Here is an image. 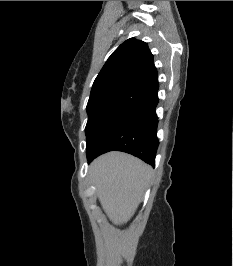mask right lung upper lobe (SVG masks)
<instances>
[{
    "mask_svg": "<svg viewBox=\"0 0 233 266\" xmlns=\"http://www.w3.org/2000/svg\"><path fill=\"white\" fill-rule=\"evenodd\" d=\"M157 86V70L148 45L131 38L108 58L93 83L89 100L123 91L149 93Z\"/></svg>",
    "mask_w": 233,
    "mask_h": 266,
    "instance_id": "1",
    "label": "right lung upper lobe"
}]
</instances>
